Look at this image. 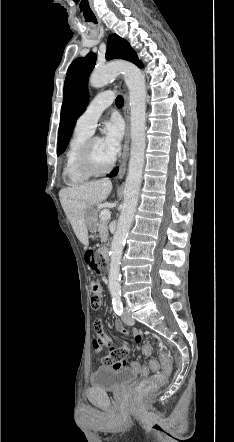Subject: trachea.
Segmentation results:
<instances>
[{"instance_id":"1","label":"trachea","mask_w":234,"mask_h":442,"mask_svg":"<svg viewBox=\"0 0 234 442\" xmlns=\"http://www.w3.org/2000/svg\"><path fill=\"white\" fill-rule=\"evenodd\" d=\"M115 103L117 106H123L124 100L121 95L117 96Z\"/></svg>"}]
</instances>
